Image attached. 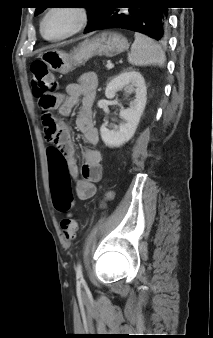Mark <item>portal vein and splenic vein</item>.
Wrapping results in <instances>:
<instances>
[{"label": "portal vein and splenic vein", "mask_w": 213, "mask_h": 338, "mask_svg": "<svg viewBox=\"0 0 213 338\" xmlns=\"http://www.w3.org/2000/svg\"><path fill=\"white\" fill-rule=\"evenodd\" d=\"M106 67H107L108 69H112V68L114 67V65H113V63L108 62V63L106 64Z\"/></svg>", "instance_id": "18ae733b"}]
</instances>
